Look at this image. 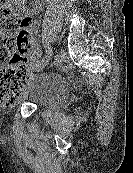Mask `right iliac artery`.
<instances>
[{
    "label": "right iliac artery",
    "mask_w": 133,
    "mask_h": 173,
    "mask_svg": "<svg viewBox=\"0 0 133 173\" xmlns=\"http://www.w3.org/2000/svg\"><path fill=\"white\" fill-rule=\"evenodd\" d=\"M51 53H52V49H51L50 46H48V47L46 48V55H45V56H47V55H49V54H51ZM37 62H39V61H37Z\"/></svg>",
    "instance_id": "right-iliac-artery-1"
}]
</instances>
